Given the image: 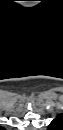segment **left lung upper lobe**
Here are the masks:
<instances>
[{"label":"left lung upper lobe","instance_id":"obj_1","mask_svg":"<svg viewBox=\"0 0 63 130\" xmlns=\"http://www.w3.org/2000/svg\"><path fill=\"white\" fill-rule=\"evenodd\" d=\"M63 124L62 115H58L49 125V130H61Z\"/></svg>","mask_w":63,"mask_h":130}]
</instances>
